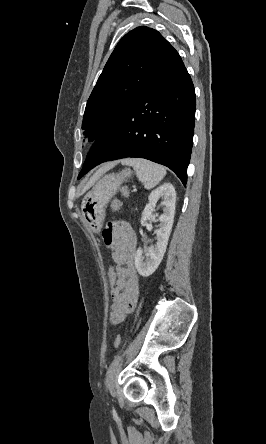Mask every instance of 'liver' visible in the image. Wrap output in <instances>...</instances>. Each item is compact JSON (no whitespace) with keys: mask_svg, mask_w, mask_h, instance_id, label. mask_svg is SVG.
Here are the masks:
<instances>
[{"mask_svg":"<svg viewBox=\"0 0 266 444\" xmlns=\"http://www.w3.org/2000/svg\"><path fill=\"white\" fill-rule=\"evenodd\" d=\"M117 164V162H111V163H107L104 164L101 168H99L95 174L89 179V181L84 185L82 192L84 193L85 191H87L91 186L94 185V183L108 170H110L111 168H113L115 165Z\"/></svg>","mask_w":266,"mask_h":444,"instance_id":"1","label":"liver"}]
</instances>
